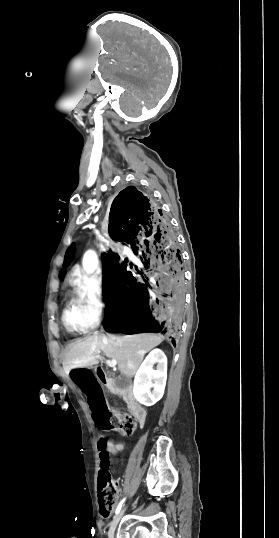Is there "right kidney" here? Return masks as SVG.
Here are the masks:
<instances>
[{
	"label": "right kidney",
	"mask_w": 279,
	"mask_h": 538,
	"mask_svg": "<svg viewBox=\"0 0 279 538\" xmlns=\"http://www.w3.org/2000/svg\"><path fill=\"white\" fill-rule=\"evenodd\" d=\"M155 364L156 370H153ZM167 380V358L162 350H152L134 378L133 394L143 406H154L161 400ZM151 388H153L151 392Z\"/></svg>",
	"instance_id": "ca27d5eb"
}]
</instances>
